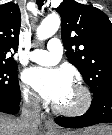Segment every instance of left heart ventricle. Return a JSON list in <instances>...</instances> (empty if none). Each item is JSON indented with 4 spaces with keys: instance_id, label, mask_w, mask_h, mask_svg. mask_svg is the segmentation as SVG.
<instances>
[{
    "instance_id": "left-heart-ventricle-1",
    "label": "left heart ventricle",
    "mask_w": 112,
    "mask_h": 135,
    "mask_svg": "<svg viewBox=\"0 0 112 135\" xmlns=\"http://www.w3.org/2000/svg\"><path fill=\"white\" fill-rule=\"evenodd\" d=\"M82 103V94L75 89L74 87H71L68 94L58 102V104L65 108H75L78 107Z\"/></svg>"
}]
</instances>
